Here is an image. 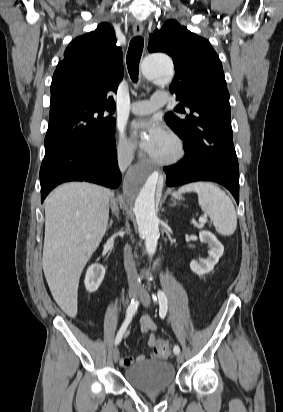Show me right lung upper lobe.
Listing matches in <instances>:
<instances>
[{"label": "right lung upper lobe", "mask_w": 283, "mask_h": 412, "mask_svg": "<svg viewBox=\"0 0 283 412\" xmlns=\"http://www.w3.org/2000/svg\"><path fill=\"white\" fill-rule=\"evenodd\" d=\"M115 44L113 28L102 23L68 45L53 75L50 115L75 104L115 110L109 93H116L123 78L122 50Z\"/></svg>", "instance_id": "1"}]
</instances>
